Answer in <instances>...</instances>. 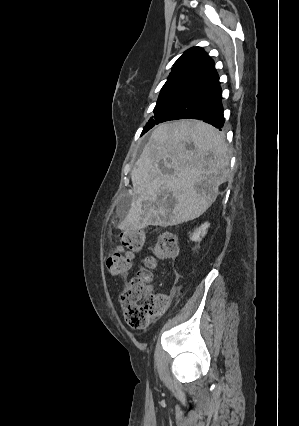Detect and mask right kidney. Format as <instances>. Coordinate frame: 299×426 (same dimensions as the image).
<instances>
[{
  "label": "right kidney",
  "mask_w": 299,
  "mask_h": 426,
  "mask_svg": "<svg viewBox=\"0 0 299 426\" xmlns=\"http://www.w3.org/2000/svg\"><path fill=\"white\" fill-rule=\"evenodd\" d=\"M209 226L210 224L206 222L202 224L199 228H196L192 233L190 239L195 242H200L202 238L206 235Z\"/></svg>",
  "instance_id": "1"
}]
</instances>
